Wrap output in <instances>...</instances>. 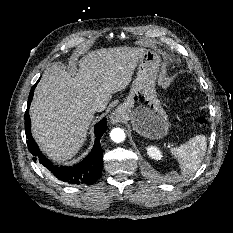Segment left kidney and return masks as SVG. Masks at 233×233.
<instances>
[{
    "instance_id": "left-kidney-1",
    "label": "left kidney",
    "mask_w": 233,
    "mask_h": 233,
    "mask_svg": "<svg viewBox=\"0 0 233 233\" xmlns=\"http://www.w3.org/2000/svg\"><path fill=\"white\" fill-rule=\"evenodd\" d=\"M147 153L151 158L155 160H160L162 158L161 151L155 146H149L147 148Z\"/></svg>"
}]
</instances>
